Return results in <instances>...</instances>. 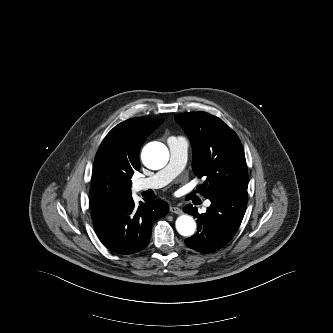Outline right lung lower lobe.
I'll list each match as a JSON object with an SVG mask.
<instances>
[{
  "instance_id": "right-lung-lower-lobe-1",
  "label": "right lung lower lobe",
  "mask_w": 333,
  "mask_h": 333,
  "mask_svg": "<svg viewBox=\"0 0 333 333\" xmlns=\"http://www.w3.org/2000/svg\"><path fill=\"white\" fill-rule=\"evenodd\" d=\"M168 211L165 201L145 200L135 206L131 197L115 206L92 209V216L97 236L108 249L132 254L147 246L153 222Z\"/></svg>"
}]
</instances>
